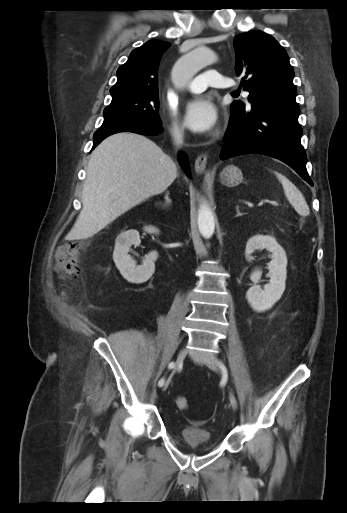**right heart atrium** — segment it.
I'll list each match as a JSON object with an SVG mask.
<instances>
[{
  "mask_svg": "<svg viewBox=\"0 0 347 513\" xmlns=\"http://www.w3.org/2000/svg\"><path fill=\"white\" fill-rule=\"evenodd\" d=\"M165 108L167 110L168 117L170 120L171 133L175 138L179 139L183 136L184 130L182 124L180 123L177 117L175 107L170 102H166Z\"/></svg>",
  "mask_w": 347,
  "mask_h": 513,
  "instance_id": "right-heart-atrium-1",
  "label": "right heart atrium"
}]
</instances>
